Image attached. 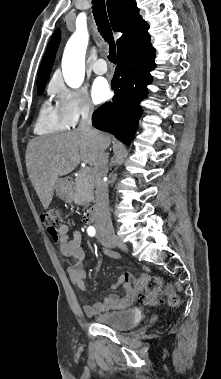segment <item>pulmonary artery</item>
<instances>
[{
    "instance_id": "obj_1",
    "label": "pulmonary artery",
    "mask_w": 221,
    "mask_h": 379,
    "mask_svg": "<svg viewBox=\"0 0 221 379\" xmlns=\"http://www.w3.org/2000/svg\"><path fill=\"white\" fill-rule=\"evenodd\" d=\"M92 69L96 74H105L107 72V64L104 59H99L92 65Z\"/></svg>"
}]
</instances>
